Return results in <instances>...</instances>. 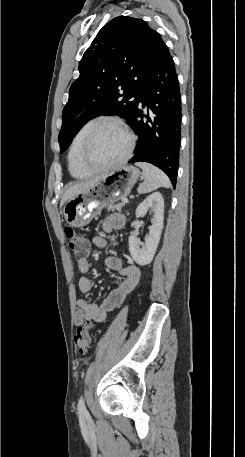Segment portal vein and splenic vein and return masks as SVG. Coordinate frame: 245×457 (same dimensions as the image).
<instances>
[{
    "mask_svg": "<svg viewBox=\"0 0 245 457\" xmlns=\"http://www.w3.org/2000/svg\"><path fill=\"white\" fill-rule=\"evenodd\" d=\"M122 202H128V198H123Z\"/></svg>",
    "mask_w": 245,
    "mask_h": 457,
    "instance_id": "18ae733b",
    "label": "portal vein and splenic vein"
}]
</instances>
